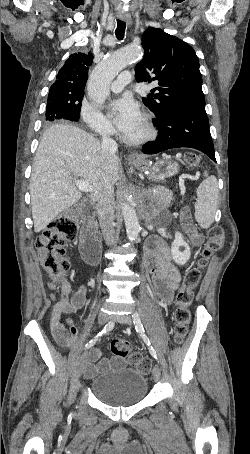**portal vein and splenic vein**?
Instances as JSON below:
<instances>
[{
    "label": "portal vein and splenic vein",
    "instance_id": "portal-vein-and-splenic-vein-1",
    "mask_svg": "<svg viewBox=\"0 0 250 454\" xmlns=\"http://www.w3.org/2000/svg\"><path fill=\"white\" fill-rule=\"evenodd\" d=\"M74 184L76 185V187L78 188L79 191H82V192H91L92 191V187L86 181L76 180Z\"/></svg>",
    "mask_w": 250,
    "mask_h": 454
}]
</instances>
